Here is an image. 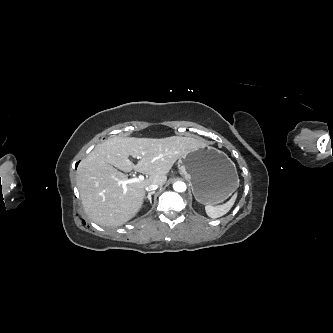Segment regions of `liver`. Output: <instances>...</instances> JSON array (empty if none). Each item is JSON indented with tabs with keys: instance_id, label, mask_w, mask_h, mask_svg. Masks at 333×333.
I'll return each instance as SVG.
<instances>
[{
	"instance_id": "liver-1",
	"label": "liver",
	"mask_w": 333,
	"mask_h": 333,
	"mask_svg": "<svg viewBox=\"0 0 333 333\" xmlns=\"http://www.w3.org/2000/svg\"><path fill=\"white\" fill-rule=\"evenodd\" d=\"M201 139L114 137L98 144L77 169L76 182L89 218L100 226H121L140 211L145 187L164 185L174 163L189 151L203 147ZM129 156L139 159L135 165ZM135 170L146 175L125 187L128 176L120 172Z\"/></svg>"
}]
</instances>
